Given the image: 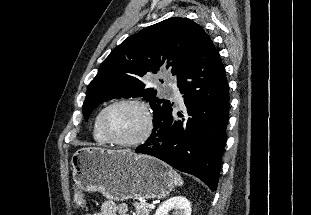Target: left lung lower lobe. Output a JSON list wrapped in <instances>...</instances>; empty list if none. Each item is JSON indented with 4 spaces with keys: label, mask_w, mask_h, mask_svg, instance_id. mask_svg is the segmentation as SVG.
<instances>
[{
    "label": "left lung lower lobe",
    "mask_w": 311,
    "mask_h": 215,
    "mask_svg": "<svg viewBox=\"0 0 311 215\" xmlns=\"http://www.w3.org/2000/svg\"><path fill=\"white\" fill-rule=\"evenodd\" d=\"M184 111L169 101L153 120L137 153L155 156L217 189L229 118V91L218 50L206 35L193 58L177 75Z\"/></svg>",
    "instance_id": "obj_1"
}]
</instances>
